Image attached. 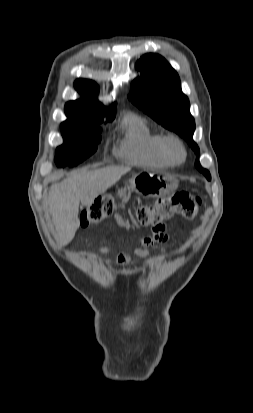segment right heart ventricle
<instances>
[{
  "instance_id": "1",
  "label": "right heart ventricle",
  "mask_w": 253,
  "mask_h": 413,
  "mask_svg": "<svg viewBox=\"0 0 253 413\" xmlns=\"http://www.w3.org/2000/svg\"><path fill=\"white\" fill-rule=\"evenodd\" d=\"M124 125L125 138L117 151L122 159L143 166L170 167L175 164L165 150V137L155 132L144 119L129 116Z\"/></svg>"
}]
</instances>
